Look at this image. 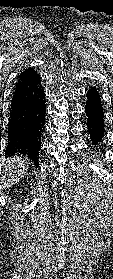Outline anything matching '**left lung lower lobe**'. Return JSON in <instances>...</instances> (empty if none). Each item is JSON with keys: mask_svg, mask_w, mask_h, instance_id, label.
Returning <instances> with one entry per match:
<instances>
[{"mask_svg": "<svg viewBox=\"0 0 113 279\" xmlns=\"http://www.w3.org/2000/svg\"><path fill=\"white\" fill-rule=\"evenodd\" d=\"M87 98L85 113L88 119L86 124L93 144L97 145L102 140L105 131L103 108L96 88L91 87L89 89Z\"/></svg>", "mask_w": 113, "mask_h": 279, "instance_id": "left-lung-lower-lobe-1", "label": "left lung lower lobe"}]
</instances>
